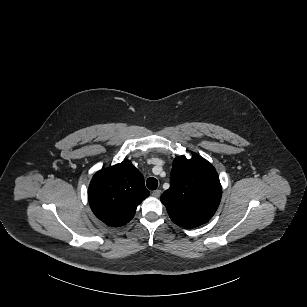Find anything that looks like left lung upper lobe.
<instances>
[{
  "mask_svg": "<svg viewBox=\"0 0 307 307\" xmlns=\"http://www.w3.org/2000/svg\"><path fill=\"white\" fill-rule=\"evenodd\" d=\"M222 188L215 168L193 153L192 159L176 157L170 188L161 195L171 220L178 226L194 228L208 222L216 212Z\"/></svg>",
  "mask_w": 307,
  "mask_h": 307,
  "instance_id": "left-lung-upper-lobe-1",
  "label": "left lung upper lobe"
}]
</instances>
